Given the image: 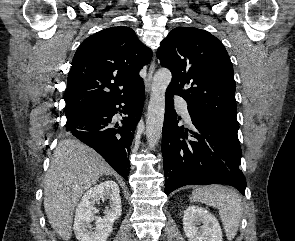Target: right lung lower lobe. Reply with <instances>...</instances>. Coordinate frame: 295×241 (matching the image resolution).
I'll use <instances>...</instances> for the list:
<instances>
[{"label":"right lung lower lobe","instance_id":"98d812e1","mask_svg":"<svg viewBox=\"0 0 295 241\" xmlns=\"http://www.w3.org/2000/svg\"><path fill=\"white\" fill-rule=\"evenodd\" d=\"M144 99L142 84L127 95L89 105L66 116V132L92 147L127 180L130 171V145ZM116 113L127 116L116 122L113 119Z\"/></svg>","mask_w":295,"mask_h":241}]
</instances>
